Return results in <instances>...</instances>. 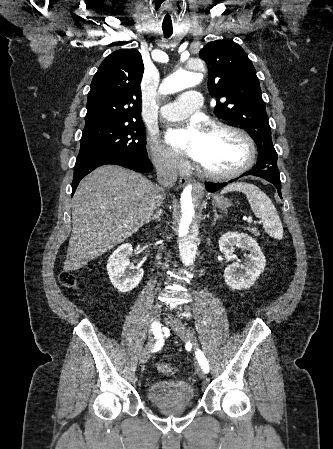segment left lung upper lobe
<instances>
[{
    "label": "left lung upper lobe",
    "instance_id": "obj_1",
    "mask_svg": "<svg viewBox=\"0 0 333 449\" xmlns=\"http://www.w3.org/2000/svg\"><path fill=\"white\" fill-rule=\"evenodd\" d=\"M208 66V90L216 97L214 113L246 130L258 148L256 168L279 174L277 153L255 68L235 42L218 40L199 52Z\"/></svg>",
    "mask_w": 333,
    "mask_h": 449
}]
</instances>
